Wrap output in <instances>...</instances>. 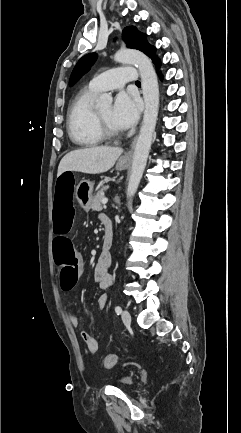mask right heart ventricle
<instances>
[{"instance_id":"e07e8e85","label":"right heart ventricle","mask_w":241,"mask_h":433,"mask_svg":"<svg viewBox=\"0 0 241 433\" xmlns=\"http://www.w3.org/2000/svg\"><path fill=\"white\" fill-rule=\"evenodd\" d=\"M96 92L84 88L73 100L68 112V132L71 141L82 147H92L103 142L95 121L93 101Z\"/></svg>"}]
</instances>
